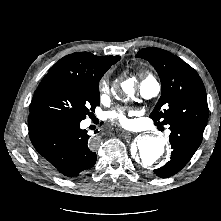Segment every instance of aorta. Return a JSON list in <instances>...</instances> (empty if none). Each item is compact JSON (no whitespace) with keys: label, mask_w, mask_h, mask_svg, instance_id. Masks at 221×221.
Here are the masks:
<instances>
[{"label":"aorta","mask_w":221,"mask_h":221,"mask_svg":"<svg viewBox=\"0 0 221 221\" xmlns=\"http://www.w3.org/2000/svg\"><path fill=\"white\" fill-rule=\"evenodd\" d=\"M121 88L128 96L134 95V83L131 80L122 82ZM165 152V141L162 138L142 136L137 139L134 159L140 166L150 168L163 158Z\"/></svg>","instance_id":"obj_1"}]
</instances>
